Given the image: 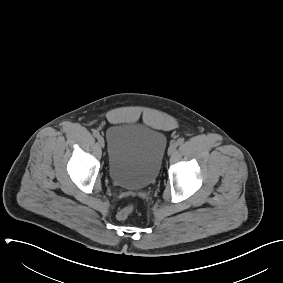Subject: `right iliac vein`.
<instances>
[{"mask_svg":"<svg viewBox=\"0 0 283 283\" xmlns=\"http://www.w3.org/2000/svg\"><path fill=\"white\" fill-rule=\"evenodd\" d=\"M98 144L102 148L105 146L104 138L102 136L98 137Z\"/></svg>","mask_w":283,"mask_h":283,"instance_id":"right-iliac-vein-1","label":"right iliac vein"}]
</instances>
